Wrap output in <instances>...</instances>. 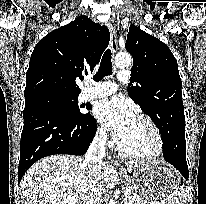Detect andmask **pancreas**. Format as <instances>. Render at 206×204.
I'll list each match as a JSON object with an SVG mask.
<instances>
[{
  "mask_svg": "<svg viewBox=\"0 0 206 204\" xmlns=\"http://www.w3.org/2000/svg\"><path fill=\"white\" fill-rule=\"evenodd\" d=\"M127 189L130 190V193L125 196V204H153L145 200H142L132 189V187L127 186Z\"/></svg>",
  "mask_w": 206,
  "mask_h": 204,
  "instance_id": "pancreas-1",
  "label": "pancreas"
}]
</instances>
